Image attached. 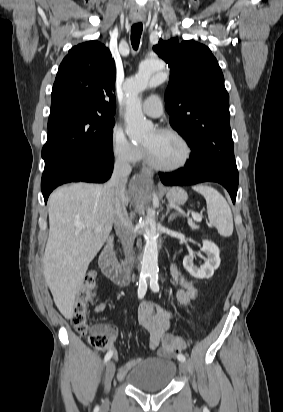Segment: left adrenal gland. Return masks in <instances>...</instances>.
Here are the masks:
<instances>
[{"mask_svg": "<svg viewBox=\"0 0 283 412\" xmlns=\"http://www.w3.org/2000/svg\"><path fill=\"white\" fill-rule=\"evenodd\" d=\"M169 208H167V212H166V215L169 213ZM178 216V213H173V214H171L170 216H169V218H168V222L170 223V222H173L174 221V219H176V217Z\"/></svg>", "mask_w": 283, "mask_h": 412, "instance_id": "left-adrenal-gland-1", "label": "left adrenal gland"}]
</instances>
